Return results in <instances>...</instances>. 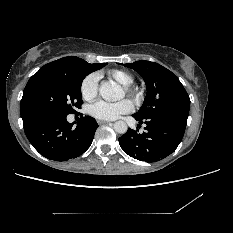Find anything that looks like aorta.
I'll return each mask as SVG.
<instances>
[{
    "instance_id": "762f6f07",
    "label": "aorta",
    "mask_w": 233,
    "mask_h": 233,
    "mask_svg": "<svg viewBox=\"0 0 233 233\" xmlns=\"http://www.w3.org/2000/svg\"><path fill=\"white\" fill-rule=\"evenodd\" d=\"M99 93L106 101H118L124 96V91L115 82H102ZM114 130L119 134H124L127 132L128 127L124 121H116L114 123Z\"/></svg>"
}]
</instances>
